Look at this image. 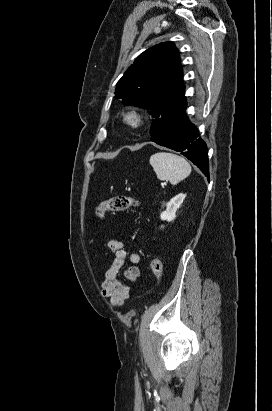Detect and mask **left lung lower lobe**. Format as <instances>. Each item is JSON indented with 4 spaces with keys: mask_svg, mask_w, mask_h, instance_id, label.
Wrapping results in <instances>:
<instances>
[{
    "mask_svg": "<svg viewBox=\"0 0 272 411\" xmlns=\"http://www.w3.org/2000/svg\"><path fill=\"white\" fill-rule=\"evenodd\" d=\"M185 105L174 114L157 132L150 141L161 146L181 152L209 176L208 152L205 142L199 137L197 128L186 116Z\"/></svg>",
    "mask_w": 272,
    "mask_h": 411,
    "instance_id": "1",
    "label": "left lung lower lobe"
}]
</instances>
